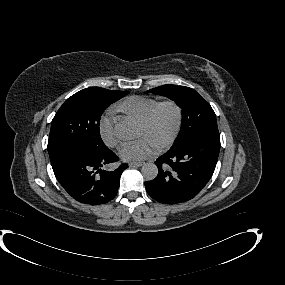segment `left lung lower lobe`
Returning a JSON list of instances; mask_svg holds the SVG:
<instances>
[{
    "label": "left lung lower lobe",
    "instance_id": "obj_1",
    "mask_svg": "<svg viewBox=\"0 0 285 285\" xmlns=\"http://www.w3.org/2000/svg\"><path fill=\"white\" fill-rule=\"evenodd\" d=\"M217 129L200 132L176 144L156 160L158 176L145 182L147 193L162 203L192 199L211 178L219 155Z\"/></svg>",
    "mask_w": 285,
    "mask_h": 285
}]
</instances>
